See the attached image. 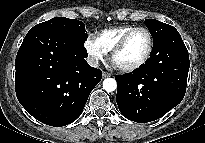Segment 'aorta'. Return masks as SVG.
<instances>
[{
  "mask_svg": "<svg viewBox=\"0 0 205 143\" xmlns=\"http://www.w3.org/2000/svg\"><path fill=\"white\" fill-rule=\"evenodd\" d=\"M117 88V82L113 78H106L103 81V89L107 92H113Z\"/></svg>",
  "mask_w": 205,
  "mask_h": 143,
  "instance_id": "obj_1",
  "label": "aorta"
}]
</instances>
